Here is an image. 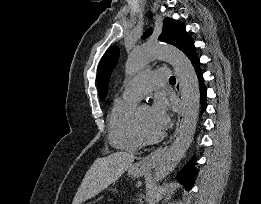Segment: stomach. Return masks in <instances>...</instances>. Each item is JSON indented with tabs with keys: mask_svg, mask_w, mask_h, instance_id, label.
Instances as JSON below:
<instances>
[{
	"mask_svg": "<svg viewBox=\"0 0 261 204\" xmlns=\"http://www.w3.org/2000/svg\"><path fill=\"white\" fill-rule=\"evenodd\" d=\"M148 170L149 168H144L140 165V163H136L128 169V175L132 177H139L145 174ZM114 191H116V189H114Z\"/></svg>",
	"mask_w": 261,
	"mask_h": 204,
	"instance_id": "1",
	"label": "stomach"
}]
</instances>
